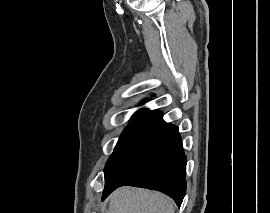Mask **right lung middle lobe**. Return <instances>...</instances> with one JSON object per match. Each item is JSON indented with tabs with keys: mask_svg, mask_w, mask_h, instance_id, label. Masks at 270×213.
<instances>
[{
	"mask_svg": "<svg viewBox=\"0 0 270 213\" xmlns=\"http://www.w3.org/2000/svg\"><path fill=\"white\" fill-rule=\"evenodd\" d=\"M152 111H148L146 109H142L140 111H138L137 113H135L132 117L131 123L129 124V126L125 129V131L122 133V135L120 136V139L114 149V152L112 153V155L110 156L106 167L109 165V163L114 159V157L116 156V154L118 153V151L125 145V143L129 140V138L132 136V134L134 133V131L137 129V127L148 117V115L151 113ZM105 167V168H106Z\"/></svg>",
	"mask_w": 270,
	"mask_h": 213,
	"instance_id": "obj_1",
	"label": "right lung middle lobe"
}]
</instances>
